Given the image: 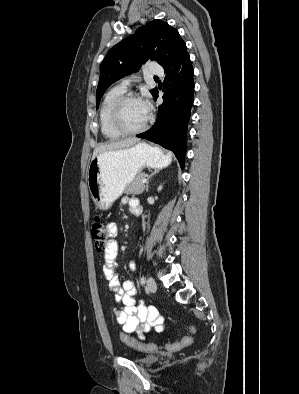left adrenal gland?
<instances>
[{
    "label": "left adrenal gland",
    "instance_id": "a2214340",
    "mask_svg": "<svg viewBox=\"0 0 299 394\" xmlns=\"http://www.w3.org/2000/svg\"><path fill=\"white\" fill-rule=\"evenodd\" d=\"M156 173H159V170H154L147 178V184H146V191L148 192V187H149V180L151 179V177L153 175H155Z\"/></svg>",
    "mask_w": 299,
    "mask_h": 394
}]
</instances>
